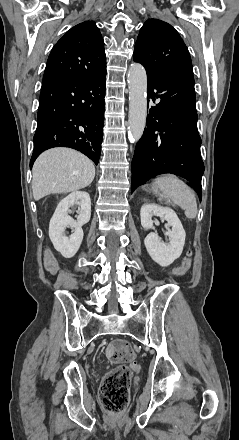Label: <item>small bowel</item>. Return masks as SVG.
Segmentation results:
<instances>
[{
    "mask_svg": "<svg viewBox=\"0 0 239 440\" xmlns=\"http://www.w3.org/2000/svg\"><path fill=\"white\" fill-rule=\"evenodd\" d=\"M44 265L51 274H56L59 271V263L49 250L44 253Z\"/></svg>",
    "mask_w": 239,
    "mask_h": 440,
    "instance_id": "1",
    "label": "small bowel"
}]
</instances>
